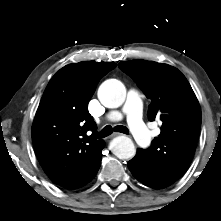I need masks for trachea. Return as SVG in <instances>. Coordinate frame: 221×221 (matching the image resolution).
Returning <instances> with one entry per match:
<instances>
[{
  "label": "trachea",
  "instance_id": "3493384b",
  "mask_svg": "<svg viewBox=\"0 0 221 221\" xmlns=\"http://www.w3.org/2000/svg\"><path fill=\"white\" fill-rule=\"evenodd\" d=\"M113 131L124 133V134H129V130L125 126L118 125V126H115L114 128H112L110 125H107L101 130V132L99 134V138L107 137L110 134H112Z\"/></svg>",
  "mask_w": 221,
  "mask_h": 221
}]
</instances>
